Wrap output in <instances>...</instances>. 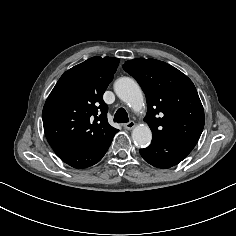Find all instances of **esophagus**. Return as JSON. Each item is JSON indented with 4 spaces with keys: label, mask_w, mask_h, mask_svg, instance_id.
Masks as SVG:
<instances>
[{
    "label": "esophagus",
    "mask_w": 236,
    "mask_h": 236,
    "mask_svg": "<svg viewBox=\"0 0 236 236\" xmlns=\"http://www.w3.org/2000/svg\"><path fill=\"white\" fill-rule=\"evenodd\" d=\"M124 127H125L127 130H131V129H133V128L135 127V122H134V121H130V122L126 123V124L124 125Z\"/></svg>",
    "instance_id": "1"
}]
</instances>
